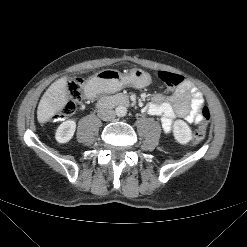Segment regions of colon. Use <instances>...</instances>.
<instances>
[{
	"mask_svg": "<svg viewBox=\"0 0 247 247\" xmlns=\"http://www.w3.org/2000/svg\"><path fill=\"white\" fill-rule=\"evenodd\" d=\"M160 80L168 87H176L184 81V78L176 73L168 71H160L158 73ZM83 80L80 78H71L67 83L68 101L55 114L54 119L61 121L72 115L75 112L77 104L82 99ZM210 122V112L207 107H204L202 113V120L193 135V142L198 143L202 141L207 132V127Z\"/></svg>",
	"mask_w": 247,
	"mask_h": 247,
	"instance_id": "1",
	"label": "colon"
}]
</instances>
